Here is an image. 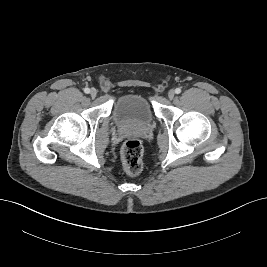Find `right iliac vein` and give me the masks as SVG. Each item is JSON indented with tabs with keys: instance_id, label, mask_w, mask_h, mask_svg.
Here are the masks:
<instances>
[{
	"instance_id": "right-iliac-vein-1",
	"label": "right iliac vein",
	"mask_w": 267,
	"mask_h": 267,
	"mask_svg": "<svg viewBox=\"0 0 267 267\" xmlns=\"http://www.w3.org/2000/svg\"><path fill=\"white\" fill-rule=\"evenodd\" d=\"M90 95H91V97L92 98H95L96 97V95H97V90L96 89H91V91H90Z\"/></svg>"
}]
</instances>
